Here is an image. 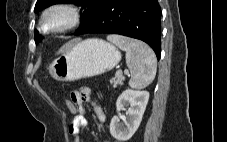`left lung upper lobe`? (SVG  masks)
Instances as JSON below:
<instances>
[{"instance_id":"5c2ea615","label":"left lung upper lobe","mask_w":227,"mask_h":142,"mask_svg":"<svg viewBox=\"0 0 227 142\" xmlns=\"http://www.w3.org/2000/svg\"><path fill=\"white\" fill-rule=\"evenodd\" d=\"M106 2V0H37L34 11H40L50 5L57 3H77L80 4L82 10L80 11L82 23L79 28L87 24L98 11V9ZM78 28V29H79ZM42 40L37 33H35V42L36 44Z\"/></svg>"}]
</instances>
